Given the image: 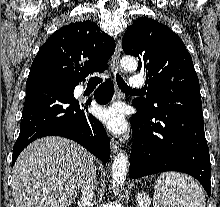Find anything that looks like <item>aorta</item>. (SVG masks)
I'll return each mask as SVG.
<instances>
[{"label": "aorta", "mask_w": 220, "mask_h": 207, "mask_svg": "<svg viewBox=\"0 0 220 207\" xmlns=\"http://www.w3.org/2000/svg\"><path fill=\"white\" fill-rule=\"evenodd\" d=\"M120 66L124 71L137 69V60L133 56H124L120 61ZM128 171V156L120 152L114 157L112 164V184L115 188L123 186Z\"/></svg>", "instance_id": "1"}]
</instances>
